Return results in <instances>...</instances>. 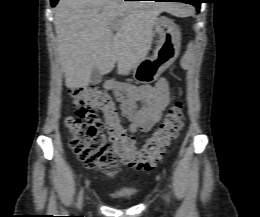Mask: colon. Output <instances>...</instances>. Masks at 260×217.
<instances>
[{"label":"colon","instance_id":"obj_1","mask_svg":"<svg viewBox=\"0 0 260 217\" xmlns=\"http://www.w3.org/2000/svg\"><path fill=\"white\" fill-rule=\"evenodd\" d=\"M72 98L77 112L66 118L70 133L68 144L87 168L97 169L108 178L118 172L119 161L138 170H152L183 126L184 108L177 102L144 146L138 149L122 125L116 104L108 92L82 88L73 90ZM97 112L102 113V122L97 120Z\"/></svg>","mask_w":260,"mask_h":217}]
</instances>
